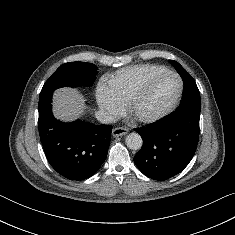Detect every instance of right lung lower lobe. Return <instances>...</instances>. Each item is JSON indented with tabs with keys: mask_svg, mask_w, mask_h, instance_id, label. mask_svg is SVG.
I'll return each mask as SVG.
<instances>
[{
	"mask_svg": "<svg viewBox=\"0 0 235 235\" xmlns=\"http://www.w3.org/2000/svg\"><path fill=\"white\" fill-rule=\"evenodd\" d=\"M52 94L39 97L38 126L46 157L65 178L87 179L107 157L112 126L56 120L51 110Z\"/></svg>",
	"mask_w": 235,
	"mask_h": 235,
	"instance_id": "98d812e1",
	"label": "right lung lower lobe"
}]
</instances>
